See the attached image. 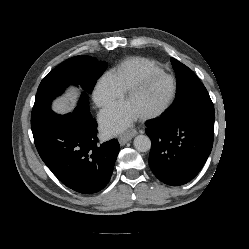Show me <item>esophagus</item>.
<instances>
[{"instance_id": "esophagus-1", "label": "esophagus", "mask_w": 249, "mask_h": 249, "mask_svg": "<svg viewBox=\"0 0 249 249\" xmlns=\"http://www.w3.org/2000/svg\"><path fill=\"white\" fill-rule=\"evenodd\" d=\"M137 134L136 130H130L127 133L121 135L119 137L120 145H125L128 141H130Z\"/></svg>"}]
</instances>
